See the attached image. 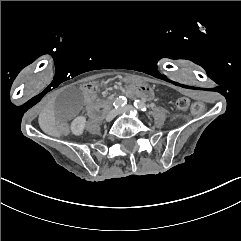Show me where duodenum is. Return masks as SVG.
<instances>
[{
  "mask_svg": "<svg viewBox=\"0 0 241 241\" xmlns=\"http://www.w3.org/2000/svg\"><path fill=\"white\" fill-rule=\"evenodd\" d=\"M109 105H110V102H109V101H106V102H103V103L97 105V106L93 109V111L91 112V114H90L91 117H92L93 119H99V118H101V117L104 115V113L106 112V110L108 109Z\"/></svg>",
  "mask_w": 241,
  "mask_h": 241,
  "instance_id": "1",
  "label": "duodenum"
}]
</instances>
